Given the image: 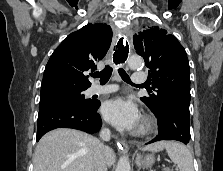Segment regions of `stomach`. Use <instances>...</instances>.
Instances as JSON below:
<instances>
[{
  "mask_svg": "<svg viewBox=\"0 0 223 171\" xmlns=\"http://www.w3.org/2000/svg\"><path fill=\"white\" fill-rule=\"evenodd\" d=\"M154 162H155V158L153 155H146L144 157L141 155H138L136 157V164L138 166H142L143 168H151Z\"/></svg>",
  "mask_w": 223,
  "mask_h": 171,
  "instance_id": "0dacf381",
  "label": "stomach"
}]
</instances>
